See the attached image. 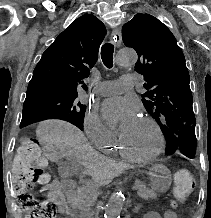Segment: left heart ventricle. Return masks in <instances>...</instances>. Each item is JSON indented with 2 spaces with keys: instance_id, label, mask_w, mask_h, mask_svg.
<instances>
[{
  "instance_id": "obj_1",
  "label": "left heart ventricle",
  "mask_w": 211,
  "mask_h": 218,
  "mask_svg": "<svg viewBox=\"0 0 211 218\" xmlns=\"http://www.w3.org/2000/svg\"><path fill=\"white\" fill-rule=\"evenodd\" d=\"M121 138L127 149L142 156L152 154L159 146L158 135L154 127L143 118Z\"/></svg>"
}]
</instances>
